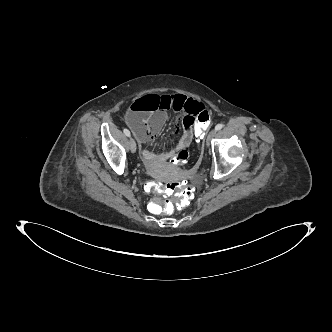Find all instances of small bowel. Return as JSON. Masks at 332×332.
<instances>
[{"instance_id":"small-bowel-1","label":"small bowel","mask_w":332,"mask_h":332,"mask_svg":"<svg viewBox=\"0 0 332 332\" xmlns=\"http://www.w3.org/2000/svg\"><path fill=\"white\" fill-rule=\"evenodd\" d=\"M181 115L183 132L179 140L165 143L163 152L155 153L145 145L150 144L161 132L169 111ZM204 111L201 102L182 94L163 95L158 91L141 93L132 104L126 116V122L132 129L136 139L142 145L141 156L147 163L158 159H170L184 146H190L193 141L192 130L196 117Z\"/></svg>"}]
</instances>
